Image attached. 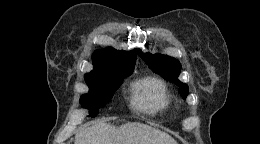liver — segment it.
<instances>
[{"mask_svg": "<svg viewBox=\"0 0 260 144\" xmlns=\"http://www.w3.org/2000/svg\"><path fill=\"white\" fill-rule=\"evenodd\" d=\"M75 144H177L167 133L139 122L115 126L99 122L83 128Z\"/></svg>", "mask_w": 260, "mask_h": 144, "instance_id": "1", "label": "liver"}]
</instances>
